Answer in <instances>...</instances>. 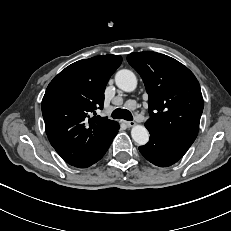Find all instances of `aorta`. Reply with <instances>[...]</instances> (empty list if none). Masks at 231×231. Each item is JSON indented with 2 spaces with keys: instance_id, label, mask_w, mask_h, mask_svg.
Segmentation results:
<instances>
[{
  "instance_id": "1",
  "label": "aorta",
  "mask_w": 231,
  "mask_h": 231,
  "mask_svg": "<svg viewBox=\"0 0 231 231\" xmlns=\"http://www.w3.org/2000/svg\"><path fill=\"white\" fill-rule=\"evenodd\" d=\"M115 83L119 89L132 92L137 87V78L132 71L122 69L116 73ZM131 136L138 145H145L149 141V132L143 125L133 126Z\"/></svg>"
}]
</instances>
